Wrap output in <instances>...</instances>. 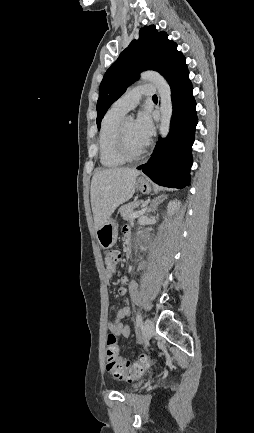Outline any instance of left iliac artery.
I'll use <instances>...</instances> for the list:
<instances>
[{
    "label": "left iliac artery",
    "instance_id": "left-iliac-artery-1",
    "mask_svg": "<svg viewBox=\"0 0 254 433\" xmlns=\"http://www.w3.org/2000/svg\"><path fill=\"white\" fill-rule=\"evenodd\" d=\"M142 323V317L140 313H137L136 315V329H139Z\"/></svg>",
    "mask_w": 254,
    "mask_h": 433
}]
</instances>
